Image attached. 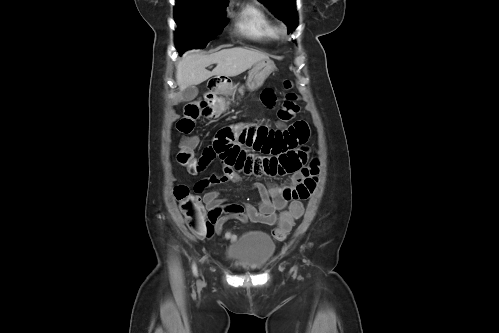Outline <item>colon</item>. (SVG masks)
Masks as SVG:
<instances>
[{"label":"colon","instance_id":"5ec220e1","mask_svg":"<svg viewBox=\"0 0 499 333\" xmlns=\"http://www.w3.org/2000/svg\"><path fill=\"white\" fill-rule=\"evenodd\" d=\"M285 88L288 90L284 100L277 112L280 122L285 123L292 120L299 112V96L291 90L292 83L285 82ZM198 116L197 107H191L186 110V114L177 122L178 131L186 136L181 142L180 150L177 154V161L182 166L196 174L199 172V164L193 155V148L196 144L195 138L188 137L194 130L195 119ZM174 195L183 212L188 228L197 236H210L213 232V223L206 213L201 199L191 193L185 185H178L174 189ZM304 207L300 201L290 202L288 208L282 212L279 218V226L276 227L272 235L277 240L286 238L288 232L294 223L303 215Z\"/></svg>","mask_w":499,"mask_h":333}]
</instances>
